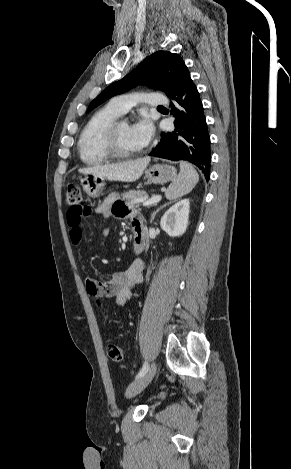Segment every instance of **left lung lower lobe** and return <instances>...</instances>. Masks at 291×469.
Returning a JSON list of instances; mask_svg holds the SVG:
<instances>
[{"label":"left lung lower lobe","mask_w":291,"mask_h":469,"mask_svg":"<svg viewBox=\"0 0 291 469\" xmlns=\"http://www.w3.org/2000/svg\"><path fill=\"white\" fill-rule=\"evenodd\" d=\"M169 97L171 115L175 117L173 132L161 134L160 143L149 154L174 161L187 160L196 165L206 180L210 177V136L199 92L189 71L180 79Z\"/></svg>","instance_id":"obj_1"}]
</instances>
